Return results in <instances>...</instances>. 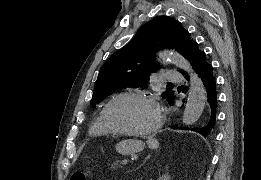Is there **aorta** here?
Masks as SVG:
<instances>
[{
  "mask_svg": "<svg viewBox=\"0 0 261 180\" xmlns=\"http://www.w3.org/2000/svg\"><path fill=\"white\" fill-rule=\"evenodd\" d=\"M158 56L160 59L169 61L171 64L186 71L189 74L190 89L182 121L187 126L193 125L202 115L206 105V90L203 82L194 72L190 63L179 53L166 50L158 53Z\"/></svg>",
  "mask_w": 261,
  "mask_h": 180,
  "instance_id": "obj_1",
  "label": "aorta"
}]
</instances>
